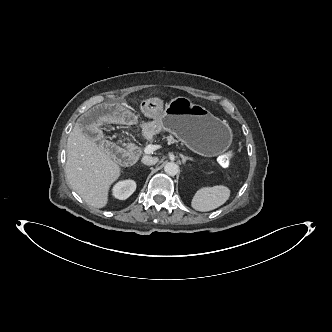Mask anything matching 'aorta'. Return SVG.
Listing matches in <instances>:
<instances>
[{
  "label": "aorta",
  "mask_w": 332,
  "mask_h": 332,
  "mask_svg": "<svg viewBox=\"0 0 332 332\" xmlns=\"http://www.w3.org/2000/svg\"><path fill=\"white\" fill-rule=\"evenodd\" d=\"M164 171L167 175L175 176L179 172V166L175 162H168L164 167Z\"/></svg>",
  "instance_id": "aorta-1"
}]
</instances>
